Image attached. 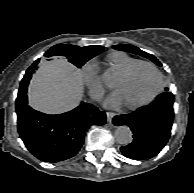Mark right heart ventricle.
<instances>
[{"instance_id": "e07e8e85", "label": "right heart ventricle", "mask_w": 194, "mask_h": 193, "mask_svg": "<svg viewBox=\"0 0 194 193\" xmlns=\"http://www.w3.org/2000/svg\"><path fill=\"white\" fill-rule=\"evenodd\" d=\"M107 61L110 67L120 75L122 72L130 68L132 65L140 62V59L129 56L124 52H113L108 55Z\"/></svg>"}]
</instances>
